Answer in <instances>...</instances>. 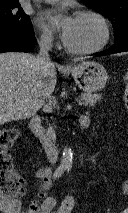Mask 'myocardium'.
Returning <instances> with one entry per match:
<instances>
[{
    "mask_svg": "<svg viewBox=\"0 0 128 213\" xmlns=\"http://www.w3.org/2000/svg\"><path fill=\"white\" fill-rule=\"evenodd\" d=\"M76 17L77 18L92 17V18L96 19L102 27L103 36H102L101 41L94 47L87 48V49H76V48L70 47L66 43L65 44L66 50L72 54L88 55V54L97 53V52L101 51L102 49H104L105 46L108 44L110 37H111V28H110V25H109V22L107 21V19L101 13L94 11V10H88V9L78 11L76 13Z\"/></svg>",
    "mask_w": 128,
    "mask_h": 213,
    "instance_id": "f54148a6",
    "label": "myocardium"
}]
</instances>
